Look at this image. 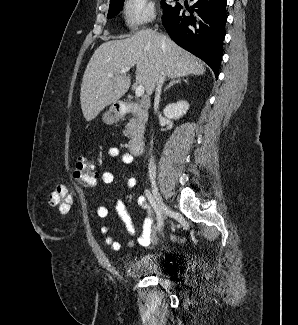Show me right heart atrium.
<instances>
[{"mask_svg": "<svg viewBox=\"0 0 298 325\" xmlns=\"http://www.w3.org/2000/svg\"><path fill=\"white\" fill-rule=\"evenodd\" d=\"M154 16V5L148 0H129L125 4V19L132 26H140Z\"/></svg>", "mask_w": 298, "mask_h": 325, "instance_id": "d8ad5b80", "label": "right heart atrium"}]
</instances>
